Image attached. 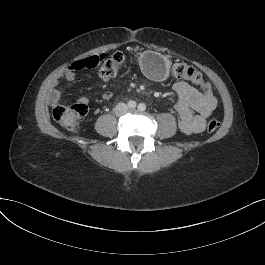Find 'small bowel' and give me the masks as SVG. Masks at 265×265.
<instances>
[{
  "mask_svg": "<svg viewBox=\"0 0 265 265\" xmlns=\"http://www.w3.org/2000/svg\"><path fill=\"white\" fill-rule=\"evenodd\" d=\"M73 73L68 71L65 73L66 79H73ZM173 90L176 94L177 101L175 109L179 118V128L186 134L202 132L205 129L207 118L213 113L217 106V99L210 89L198 90L189 81H177L173 85ZM64 89L57 85L49 94V103L55 106ZM113 93L105 91L102 94V99L105 101L111 100ZM87 97H80L78 102L82 104L88 103Z\"/></svg>",
  "mask_w": 265,
  "mask_h": 265,
  "instance_id": "obj_1",
  "label": "small bowel"
}]
</instances>
